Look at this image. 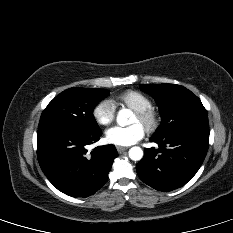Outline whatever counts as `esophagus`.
<instances>
[{"label": "esophagus", "mask_w": 233, "mask_h": 233, "mask_svg": "<svg viewBox=\"0 0 233 233\" xmlns=\"http://www.w3.org/2000/svg\"><path fill=\"white\" fill-rule=\"evenodd\" d=\"M116 149H117L118 153H122V152L126 151L128 148L123 147V146H116Z\"/></svg>", "instance_id": "esophagus-1"}]
</instances>
